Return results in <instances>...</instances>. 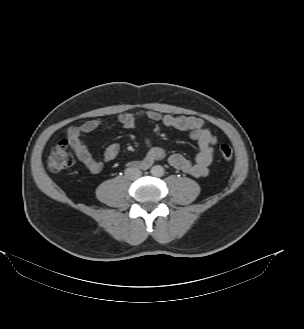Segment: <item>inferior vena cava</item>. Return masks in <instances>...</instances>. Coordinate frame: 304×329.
Returning a JSON list of instances; mask_svg holds the SVG:
<instances>
[{
    "mask_svg": "<svg viewBox=\"0 0 304 329\" xmlns=\"http://www.w3.org/2000/svg\"><path fill=\"white\" fill-rule=\"evenodd\" d=\"M125 175L129 180H136L141 177L142 172L138 168L130 167L125 170Z\"/></svg>",
    "mask_w": 304,
    "mask_h": 329,
    "instance_id": "602c4592",
    "label": "inferior vena cava"
}]
</instances>
